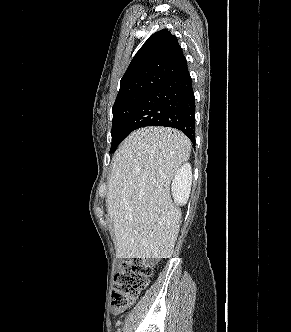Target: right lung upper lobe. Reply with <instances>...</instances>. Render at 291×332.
<instances>
[{
	"label": "right lung upper lobe",
	"mask_w": 291,
	"mask_h": 332,
	"mask_svg": "<svg viewBox=\"0 0 291 332\" xmlns=\"http://www.w3.org/2000/svg\"><path fill=\"white\" fill-rule=\"evenodd\" d=\"M187 68V61L176 36L167 29L149 37L136 53L120 81L116 100L152 89Z\"/></svg>",
	"instance_id": "1"
}]
</instances>
